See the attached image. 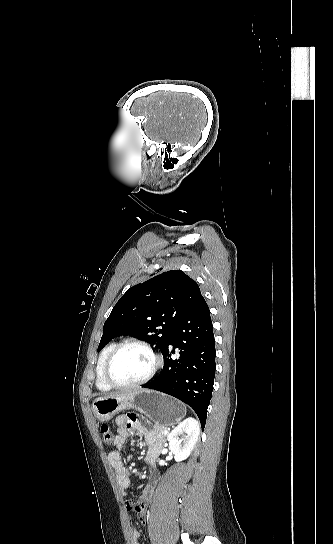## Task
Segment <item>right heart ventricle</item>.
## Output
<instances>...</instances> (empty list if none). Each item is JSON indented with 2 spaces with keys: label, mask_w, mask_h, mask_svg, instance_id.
<instances>
[{
  "label": "right heart ventricle",
  "mask_w": 333,
  "mask_h": 544,
  "mask_svg": "<svg viewBox=\"0 0 333 544\" xmlns=\"http://www.w3.org/2000/svg\"><path fill=\"white\" fill-rule=\"evenodd\" d=\"M117 345L116 342H111L109 343L108 345H106L99 357H98V360H97V365H96V386L99 390L101 391H109L112 389V387L106 383V381L104 380V377H103V368H104V364H105V361L108 357V355L110 354V352L115 348V346Z\"/></svg>",
  "instance_id": "e07e8e85"
}]
</instances>
